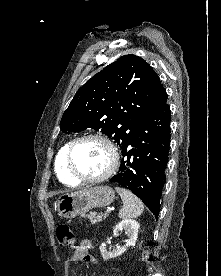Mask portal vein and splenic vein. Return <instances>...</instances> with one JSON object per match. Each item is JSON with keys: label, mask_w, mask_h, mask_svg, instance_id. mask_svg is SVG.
I'll list each match as a JSON object with an SVG mask.
<instances>
[{"label": "portal vein and splenic vein", "mask_w": 221, "mask_h": 276, "mask_svg": "<svg viewBox=\"0 0 221 276\" xmlns=\"http://www.w3.org/2000/svg\"><path fill=\"white\" fill-rule=\"evenodd\" d=\"M111 212V209H107L106 210V214L110 213Z\"/></svg>", "instance_id": "1"}]
</instances>
